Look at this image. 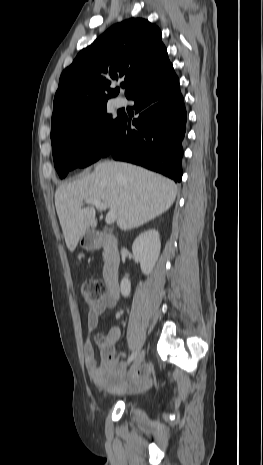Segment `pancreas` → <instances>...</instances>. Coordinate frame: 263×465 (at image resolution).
Segmentation results:
<instances>
[{
	"label": "pancreas",
	"mask_w": 263,
	"mask_h": 465,
	"mask_svg": "<svg viewBox=\"0 0 263 465\" xmlns=\"http://www.w3.org/2000/svg\"><path fill=\"white\" fill-rule=\"evenodd\" d=\"M103 258H104L105 261L107 260V258H108V252L107 251L103 252Z\"/></svg>",
	"instance_id": "1"
}]
</instances>
